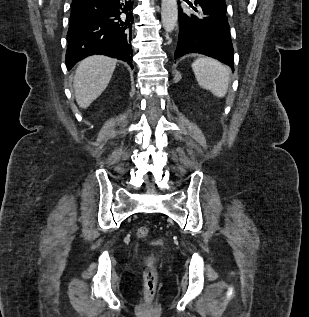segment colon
<instances>
[{
	"mask_svg": "<svg viewBox=\"0 0 309 317\" xmlns=\"http://www.w3.org/2000/svg\"><path fill=\"white\" fill-rule=\"evenodd\" d=\"M149 229L141 226L136 230V235L140 239L147 238ZM156 243L160 244V241ZM157 287V266L154 263L149 264L144 271V292L147 300H152Z\"/></svg>",
	"mask_w": 309,
	"mask_h": 317,
	"instance_id": "colon-1",
	"label": "colon"
}]
</instances>
